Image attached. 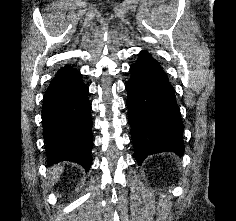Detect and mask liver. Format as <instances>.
I'll return each instance as SVG.
<instances>
[{"label": "liver", "instance_id": "liver-1", "mask_svg": "<svg viewBox=\"0 0 236 221\" xmlns=\"http://www.w3.org/2000/svg\"><path fill=\"white\" fill-rule=\"evenodd\" d=\"M62 171H63V167L60 164H58L52 168V170L50 172L51 184L55 183V181L60 177V174L62 173Z\"/></svg>", "mask_w": 236, "mask_h": 221}]
</instances>
